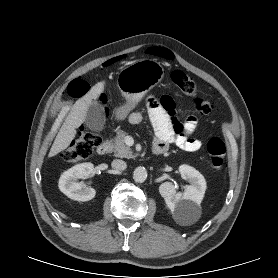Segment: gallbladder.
<instances>
[{"label": "gallbladder", "mask_w": 278, "mask_h": 278, "mask_svg": "<svg viewBox=\"0 0 278 278\" xmlns=\"http://www.w3.org/2000/svg\"><path fill=\"white\" fill-rule=\"evenodd\" d=\"M84 124L89 130L93 132H100L104 129L105 113L104 108L100 103L93 101L90 104Z\"/></svg>", "instance_id": "1"}]
</instances>
